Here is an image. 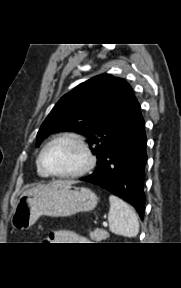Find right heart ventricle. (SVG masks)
<instances>
[{
    "instance_id": "e07e8e85",
    "label": "right heart ventricle",
    "mask_w": 181,
    "mask_h": 288,
    "mask_svg": "<svg viewBox=\"0 0 181 288\" xmlns=\"http://www.w3.org/2000/svg\"><path fill=\"white\" fill-rule=\"evenodd\" d=\"M36 173L38 176L42 178L48 177V175L45 173V171L42 169L40 163H39V157L36 160Z\"/></svg>"
}]
</instances>
